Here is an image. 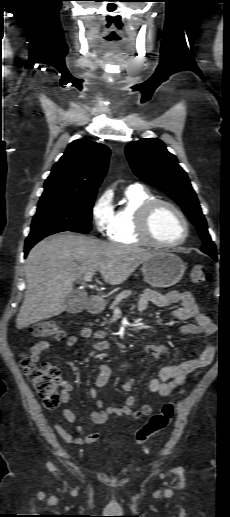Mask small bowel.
<instances>
[{"mask_svg":"<svg viewBox=\"0 0 230 517\" xmlns=\"http://www.w3.org/2000/svg\"><path fill=\"white\" fill-rule=\"evenodd\" d=\"M151 303L160 307L179 304V307L174 309L170 313V316L180 321L194 319L195 322H188L180 327V334L182 335L201 334L210 337L217 333V325L206 314L199 310L195 298L190 292L159 293L153 290L142 291L138 301V309L145 311ZM105 335V332L93 331L90 327H84L80 330L79 335L65 337L64 343L67 347H72L82 338L90 340L94 350L106 351L110 349V344L103 340ZM49 347L50 343L48 341L37 342L30 350V359L34 362H38L43 352L48 350ZM145 352L154 360H159L169 354V347L164 342L155 340L146 345ZM215 352V345L213 343H207L200 347L196 357L180 364L163 367L158 377L153 378L149 382V390L162 397L170 396L178 387L183 385L189 374L196 369L210 365L214 359ZM98 371L99 373L95 379L94 386L89 388V394L94 399L98 397L97 389L107 384L111 374V369L107 364L99 365ZM135 382L136 378L126 379L121 383V389L130 392ZM62 388V402L67 403L74 390V386L68 381H63ZM135 401L134 396H128L125 399L124 405L105 408V402L102 399H97V409L90 414V419L94 424L100 425L105 423L112 414L128 416L135 419L151 414L152 407L148 404L141 406L139 409H134ZM62 414L67 422L76 427V431L79 434V437L75 438L59 422H55L54 428L56 432L66 443L82 445L85 443L92 444L99 440V433L88 432L78 424L77 416L72 409L66 407L63 409Z\"/></svg>","mask_w":230,"mask_h":517,"instance_id":"obj_1","label":"small bowel"}]
</instances>
